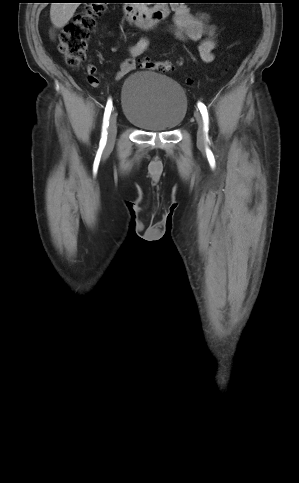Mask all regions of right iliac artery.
I'll use <instances>...</instances> for the list:
<instances>
[{
	"label": "right iliac artery",
	"mask_w": 299,
	"mask_h": 483,
	"mask_svg": "<svg viewBox=\"0 0 299 483\" xmlns=\"http://www.w3.org/2000/svg\"><path fill=\"white\" fill-rule=\"evenodd\" d=\"M111 110H112V101H111V99H109L108 102H107L106 108H105V113H104L102 138L100 140L101 146H105V144H106L107 127L109 125V117H110V114H111Z\"/></svg>",
	"instance_id": "obj_1"
}]
</instances>
